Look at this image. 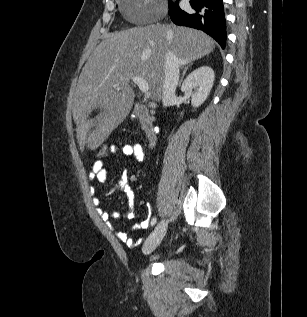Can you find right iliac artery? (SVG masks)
Segmentation results:
<instances>
[{
	"label": "right iliac artery",
	"instance_id": "obj_1",
	"mask_svg": "<svg viewBox=\"0 0 307 317\" xmlns=\"http://www.w3.org/2000/svg\"><path fill=\"white\" fill-rule=\"evenodd\" d=\"M156 223V218H153L151 221V225H154Z\"/></svg>",
	"mask_w": 307,
	"mask_h": 317
}]
</instances>
